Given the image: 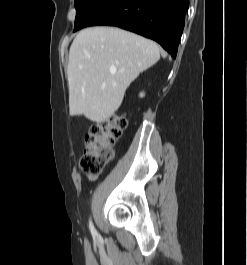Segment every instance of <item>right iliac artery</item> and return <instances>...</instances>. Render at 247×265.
<instances>
[{
	"label": "right iliac artery",
	"mask_w": 247,
	"mask_h": 265,
	"mask_svg": "<svg viewBox=\"0 0 247 265\" xmlns=\"http://www.w3.org/2000/svg\"><path fill=\"white\" fill-rule=\"evenodd\" d=\"M89 228H90L91 234L93 235V237H95L97 235V231L95 230L91 220L89 222Z\"/></svg>",
	"instance_id": "right-iliac-artery-1"
}]
</instances>
